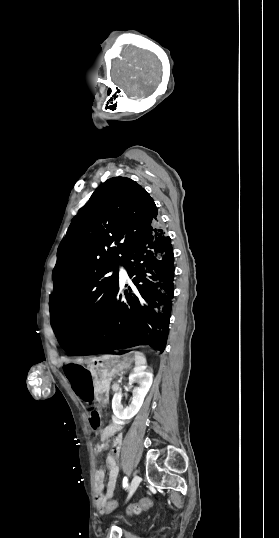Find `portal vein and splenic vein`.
Segmentation results:
<instances>
[{"label": "portal vein and splenic vein", "mask_w": 279, "mask_h": 538, "mask_svg": "<svg viewBox=\"0 0 279 538\" xmlns=\"http://www.w3.org/2000/svg\"><path fill=\"white\" fill-rule=\"evenodd\" d=\"M124 377H119V380H115V383H123Z\"/></svg>", "instance_id": "18ae733b"}]
</instances>
